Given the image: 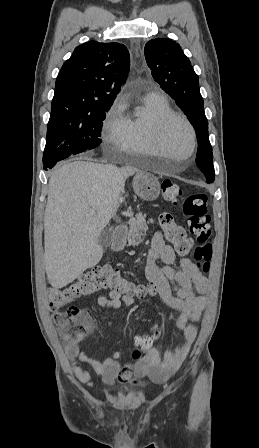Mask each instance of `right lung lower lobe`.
I'll return each instance as SVG.
<instances>
[{
	"mask_svg": "<svg viewBox=\"0 0 259 448\" xmlns=\"http://www.w3.org/2000/svg\"><path fill=\"white\" fill-rule=\"evenodd\" d=\"M56 163H57V162H54V163H48V164L44 165V170L53 168V167L56 165Z\"/></svg>",
	"mask_w": 259,
	"mask_h": 448,
	"instance_id": "98d812e1",
	"label": "right lung lower lobe"
}]
</instances>
